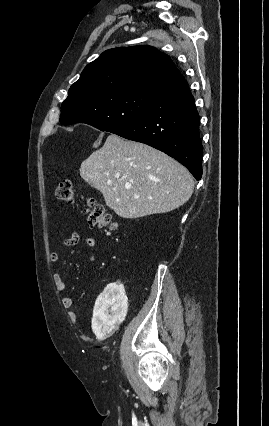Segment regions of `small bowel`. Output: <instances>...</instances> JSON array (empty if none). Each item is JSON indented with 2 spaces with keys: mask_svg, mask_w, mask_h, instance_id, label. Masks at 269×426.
I'll return each instance as SVG.
<instances>
[{
  "mask_svg": "<svg viewBox=\"0 0 269 426\" xmlns=\"http://www.w3.org/2000/svg\"><path fill=\"white\" fill-rule=\"evenodd\" d=\"M79 240H80V237H79L78 233L71 232L70 235L62 241L61 246L62 247H72V246L77 245ZM86 245L92 251V255L90 257V260L93 261L96 257V252H97V249H98V242L95 238H88L86 240ZM49 258H50L51 262H56L59 258V252L58 251L51 252L50 255H49ZM53 281H54L55 287L58 291L64 292V291L67 290V283L65 282L61 272L57 271V272L54 273ZM61 302H62V306L64 308H71L72 305H73V299L69 295L63 296L62 299H61Z\"/></svg>",
  "mask_w": 269,
  "mask_h": 426,
  "instance_id": "obj_1",
  "label": "small bowel"
}]
</instances>
